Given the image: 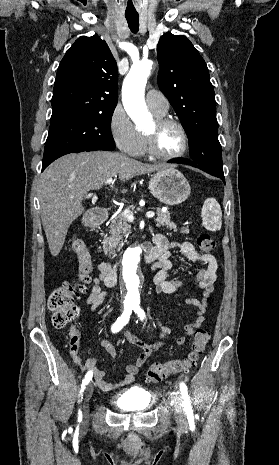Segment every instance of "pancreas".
<instances>
[{
	"label": "pancreas",
	"mask_w": 279,
	"mask_h": 465,
	"mask_svg": "<svg viewBox=\"0 0 279 465\" xmlns=\"http://www.w3.org/2000/svg\"><path fill=\"white\" fill-rule=\"evenodd\" d=\"M127 209H134L133 205L127 207ZM157 218L155 219L156 226L162 227L166 226L170 230L177 231V226L174 222L170 219L169 212H162L160 208H156ZM129 231V224L128 220L124 217L123 213L118 214L111 220V224L109 226V235H104L103 239V250L105 254L109 253V256H113L116 254V250L118 248H122L125 240L123 239L127 236ZM182 233H188L187 228H182Z\"/></svg>",
	"instance_id": "pancreas-1"
}]
</instances>
